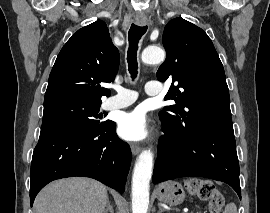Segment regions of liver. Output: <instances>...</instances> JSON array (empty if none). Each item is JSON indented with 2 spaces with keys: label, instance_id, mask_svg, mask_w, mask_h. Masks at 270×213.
I'll return each instance as SVG.
<instances>
[{
  "label": "liver",
  "instance_id": "liver-1",
  "mask_svg": "<svg viewBox=\"0 0 270 213\" xmlns=\"http://www.w3.org/2000/svg\"><path fill=\"white\" fill-rule=\"evenodd\" d=\"M108 201L106 187L89 178L52 182L36 197L34 213H103Z\"/></svg>",
  "mask_w": 270,
  "mask_h": 213
}]
</instances>
